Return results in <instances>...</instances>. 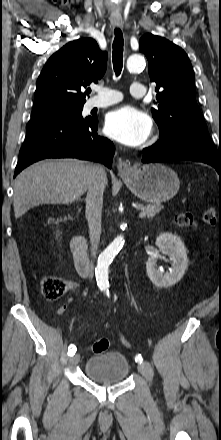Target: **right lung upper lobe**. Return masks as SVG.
I'll return each mask as SVG.
<instances>
[{
	"instance_id": "cb5924a9",
	"label": "right lung upper lobe",
	"mask_w": 221,
	"mask_h": 440,
	"mask_svg": "<svg viewBox=\"0 0 221 440\" xmlns=\"http://www.w3.org/2000/svg\"><path fill=\"white\" fill-rule=\"evenodd\" d=\"M107 67V52L92 38L71 41L53 54L37 80L34 110L83 106L91 82L97 83Z\"/></svg>"
}]
</instances>
